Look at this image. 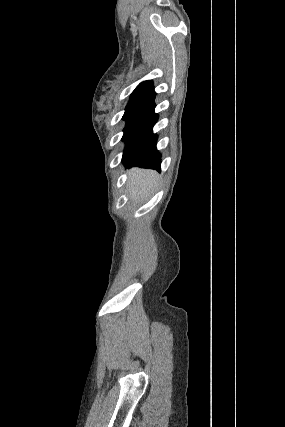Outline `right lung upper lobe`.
<instances>
[{
  "mask_svg": "<svg viewBox=\"0 0 285 427\" xmlns=\"http://www.w3.org/2000/svg\"><path fill=\"white\" fill-rule=\"evenodd\" d=\"M156 93L152 81L140 83L131 94L123 119L137 116H148L155 108Z\"/></svg>",
  "mask_w": 285,
  "mask_h": 427,
  "instance_id": "cb5924a9",
  "label": "right lung upper lobe"
}]
</instances>
